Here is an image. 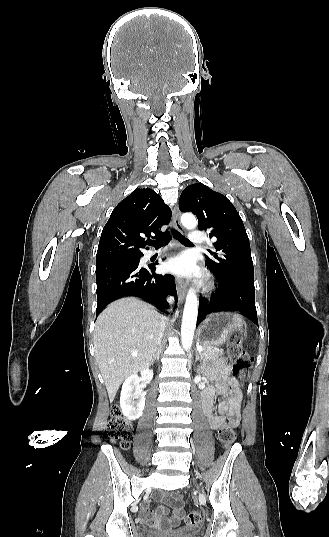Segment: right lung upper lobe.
<instances>
[{
  "label": "right lung upper lobe",
  "mask_w": 329,
  "mask_h": 537,
  "mask_svg": "<svg viewBox=\"0 0 329 537\" xmlns=\"http://www.w3.org/2000/svg\"><path fill=\"white\" fill-rule=\"evenodd\" d=\"M170 208L152 189H136L111 213L103 228L96 263L132 259L142 256L145 237L162 234L160 227L168 224Z\"/></svg>",
  "instance_id": "obj_1"
}]
</instances>
